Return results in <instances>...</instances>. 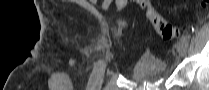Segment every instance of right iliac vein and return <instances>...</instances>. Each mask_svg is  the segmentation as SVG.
<instances>
[{"mask_svg": "<svg viewBox=\"0 0 209 90\" xmlns=\"http://www.w3.org/2000/svg\"><path fill=\"white\" fill-rule=\"evenodd\" d=\"M103 71V70H102ZM102 75L103 74H101L100 75V77L98 78V81H97V83H96V85H95V87H96V89L95 90H100V88H101V79H102ZM98 76H99V74H98Z\"/></svg>", "mask_w": 209, "mask_h": 90, "instance_id": "right-iliac-vein-1", "label": "right iliac vein"}]
</instances>
